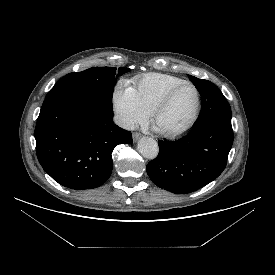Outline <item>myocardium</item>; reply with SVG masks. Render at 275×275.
<instances>
[{
	"label": "myocardium",
	"mask_w": 275,
	"mask_h": 275,
	"mask_svg": "<svg viewBox=\"0 0 275 275\" xmlns=\"http://www.w3.org/2000/svg\"><path fill=\"white\" fill-rule=\"evenodd\" d=\"M185 85L192 87L196 94V106H195L194 113H193L191 119L189 120V122L186 125H184L183 127L179 128L177 130H174V131H161L160 130L161 134L164 135L165 137L174 138V137H178V136L185 134L186 132H188L189 130H191L194 127V125L197 123V121L199 119V116L201 113V108H202V99H201L200 91L197 88V86L195 84H193L192 82L183 80L182 82L169 88L164 93V95L159 99V101L154 105V107L152 108V110L150 112L151 120L153 123H155L156 117L169 104L173 94L179 88H181L182 86H185Z\"/></svg>",
	"instance_id": "f54148a6"
}]
</instances>
